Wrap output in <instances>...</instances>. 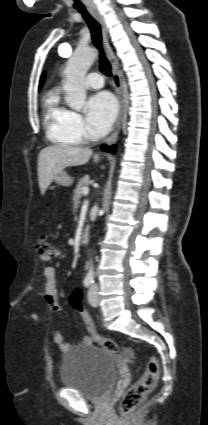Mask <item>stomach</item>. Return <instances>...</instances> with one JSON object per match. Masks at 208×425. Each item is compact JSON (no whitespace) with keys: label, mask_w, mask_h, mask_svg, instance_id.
Listing matches in <instances>:
<instances>
[{"label":"stomach","mask_w":208,"mask_h":425,"mask_svg":"<svg viewBox=\"0 0 208 425\" xmlns=\"http://www.w3.org/2000/svg\"><path fill=\"white\" fill-rule=\"evenodd\" d=\"M56 184L64 187H68L73 183V178L70 177L65 171H61L55 178Z\"/></svg>","instance_id":"1"}]
</instances>
